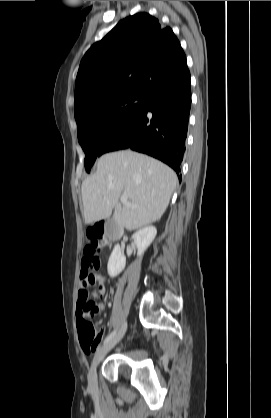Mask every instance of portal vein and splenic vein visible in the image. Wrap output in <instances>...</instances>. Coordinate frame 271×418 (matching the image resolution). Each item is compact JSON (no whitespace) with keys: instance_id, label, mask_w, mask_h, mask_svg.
<instances>
[{"instance_id":"18ae733b","label":"portal vein and splenic vein","mask_w":271,"mask_h":418,"mask_svg":"<svg viewBox=\"0 0 271 418\" xmlns=\"http://www.w3.org/2000/svg\"><path fill=\"white\" fill-rule=\"evenodd\" d=\"M120 201H121V203H123L124 205H128V206H133V207H136L134 204H131V203L128 201V198H127V196H126V195H122V196L120 197Z\"/></svg>"}]
</instances>
